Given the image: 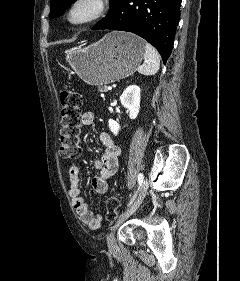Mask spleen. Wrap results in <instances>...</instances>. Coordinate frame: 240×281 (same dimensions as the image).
<instances>
[{
  "mask_svg": "<svg viewBox=\"0 0 240 281\" xmlns=\"http://www.w3.org/2000/svg\"><path fill=\"white\" fill-rule=\"evenodd\" d=\"M144 63L138 67V72L143 75H155L160 68V56L156 49L145 43Z\"/></svg>",
  "mask_w": 240,
  "mask_h": 281,
  "instance_id": "3e777b00",
  "label": "spleen"
}]
</instances>
